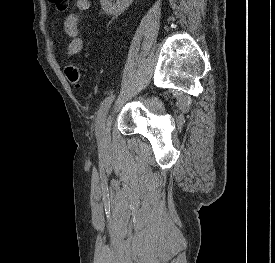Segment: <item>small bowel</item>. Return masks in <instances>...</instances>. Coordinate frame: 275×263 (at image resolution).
Here are the masks:
<instances>
[{
	"label": "small bowel",
	"instance_id": "small-bowel-1",
	"mask_svg": "<svg viewBox=\"0 0 275 263\" xmlns=\"http://www.w3.org/2000/svg\"><path fill=\"white\" fill-rule=\"evenodd\" d=\"M90 0H77L76 7L79 12L87 11L90 8ZM64 32L69 40L66 48L68 57H73L81 52L84 46L80 34L79 17L76 13L70 14L64 21Z\"/></svg>",
	"mask_w": 275,
	"mask_h": 263
}]
</instances>
